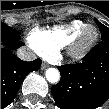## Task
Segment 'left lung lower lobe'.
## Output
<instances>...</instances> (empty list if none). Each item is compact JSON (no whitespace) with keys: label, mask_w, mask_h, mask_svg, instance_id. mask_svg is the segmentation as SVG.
Returning a JSON list of instances; mask_svg holds the SVG:
<instances>
[{"label":"left lung lower lobe","mask_w":109,"mask_h":109,"mask_svg":"<svg viewBox=\"0 0 109 109\" xmlns=\"http://www.w3.org/2000/svg\"><path fill=\"white\" fill-rule=\"evenodd\" d=\"M61 79L52 87L60 109H95L109 98V41L101 42L83 63L58 67Z\"/></svg>","instance_id":"1"}]
</instances>
